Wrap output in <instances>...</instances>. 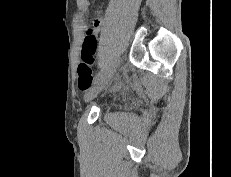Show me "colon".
<instances>
[{
  "label": "colon",
  "instance_id": "obj_1",
  "mask_svg": "<svg viewBox=\"0 0 231 177\" xmlns=\"http://www.w3.org/2000/svg\"><path fill=\"white\" fill-rule=\"evenodd\" d=\"M96 46L97 38L89 31L83 42L81 62L78 66V85L81 90L89 88L92 84Z\"/></svg>",
  "mask_w": 231,
  "mask_h": 177
}]
</instances>
